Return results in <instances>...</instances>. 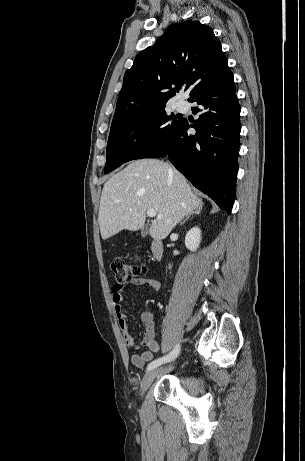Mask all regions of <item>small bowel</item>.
<instances>
[{"mask_svg": "<svg viewBox=\"0 0 305 461\" xmlns=\"http://www.w3.org/2000/svg\"><path fill=\"white\" fill-rule=\"evenodd\" d=\"M133 286L148 287L157 291L160 283L153 277H140L129 283ZM124 283L116 282L111 287L112 303L117 315L118 323L124 333V339L127 347L132 351L131 362L137 368H143L145 364L151 361L154 354L159 352V344L157 342V324L152 313L145 311L141 313V321L144 326V337L141 341H137L128 330V324L125 314L122 310L123 289ZM147 347L148 350H141Z\"/></svg>", "mask_w": 305, "mask_h": 461, "instance_id": "c3829d8e", "label": "small bowel"}]
</instances>
